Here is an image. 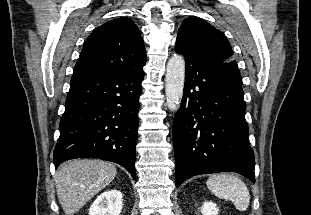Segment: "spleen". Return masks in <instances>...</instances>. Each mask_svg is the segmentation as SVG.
Segmentation results:
<instances>
[{
  "label": "spleen",
  "mask_w": 311,
  "mask_h": 215,
  "mask_svg": "<svg viewBox=\"0 0 311 215\" xmlns=\"http://www.w3.org/2000/svg\"><path fill=\"white\" fill-rule=\"evenodd\" d=\"M208 189L217 197L230 200L236 209L245 211L250 202L246 184L233 174H214L206 182Z\"/></svg>",
  "instance_id": "3e777b00"
}]
</instances>
